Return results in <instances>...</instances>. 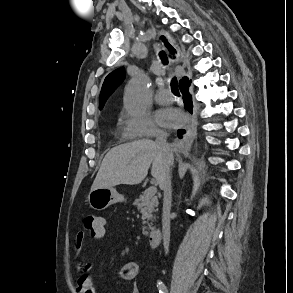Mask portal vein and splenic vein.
I'll list each match as a JSON object with an SVG mask.
<instances>
[{"label": "portal vein and splenic vein", "mask_w": 293, "mask_h": 293, "mask_svg": "<svg viewBox=\"0 0 293 293\" xmlns=\"http://www.w3.org/2000/svg\"><path fill=\"white\" fill-rule=\"evenodd\" d=\"M146 192H147V195L149 196L155 195L157 192V188L155 186H151L146 190Z\"/></svg>", "instance_id": "portal-vein-and-splenic-vein-1"}]
</instances>
